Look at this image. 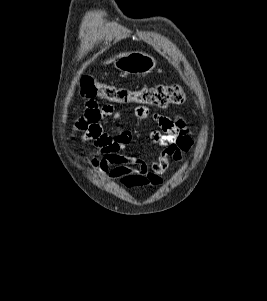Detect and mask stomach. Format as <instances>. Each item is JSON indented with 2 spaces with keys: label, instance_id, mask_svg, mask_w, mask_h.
I'll return each instance as SVG.
<instances>
[{
  "label": "stomach",
  "instance_id": "obj_1",
  "mask_svg": "<svg viewBox=\"0 0 267 301\" xmlns=\"http://www.w3.org/2000/svg\"><path fill=\"white\" fill-rule=\"evenodd\" d=\"M156 64L153 56L135 51L120 57L114 62V67L126 74L144 75L150 73Z\"/></svg>",
  "mask_w": 267,
  "mask_h": 301
}]
</instances>
